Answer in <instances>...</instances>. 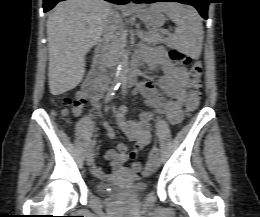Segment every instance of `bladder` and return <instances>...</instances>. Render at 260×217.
<instances>
[{"label":"bladder","instance_id":"31cf9c89","mask_svg":"<svg viewBox=\"0 0 260 217\" xmlns=\"http://www.w3.org/2000/svg\"><path fill=\"white\" fill-rule=\"evenodd\" d=\"M139 176L129 168H119L107 179L105 184L98 186V190L106 195L113 194V188H122L124 195L131 199L143 196L147 185L138 182Z\"/></svg>","mask_w":260,"mask_h":217}]
</instances>
